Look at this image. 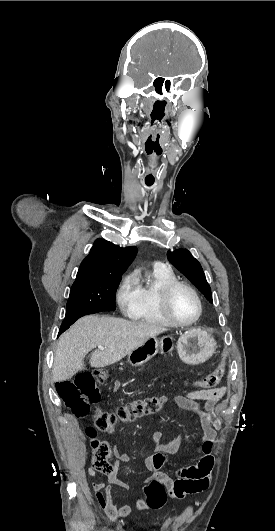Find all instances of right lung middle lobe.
Listing matches in <instances>:
<instances>
[{
    "label": "right lung middle lobe",
    "instance_id": "dd1d6c3e",
    "mask_svg": "<svg viewBox=\"0 0 275 531\" xmlns=\"http://www.w3.org/2000/svg\"><path fill=\"white\" fill-rule=\"evenodd\" d=\"M121 276L76 278L61 327L72 325L84 315L115 310V292Z\"/></svg>",
    "mask_w": 275,
    "mask_h": 531
}]
</instances>
